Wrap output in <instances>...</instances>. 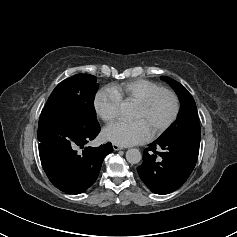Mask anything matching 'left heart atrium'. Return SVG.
<instances>
[{"instance_id":"obj_1","label":"left heart atrium","mask_w":237,"mask_h":237,"mask_svg":"<svg viewBox=\"0 0 237 237\" xmlns=\"http://www.w3.org/2000/svg\"><path fill=\"white\" fill-rule=\"evenodd\" d=\"M103 136L119 146L140 144L150 138L149 132L139 120L111 124L104 129Z\"/></svg>"}]
</instances>
